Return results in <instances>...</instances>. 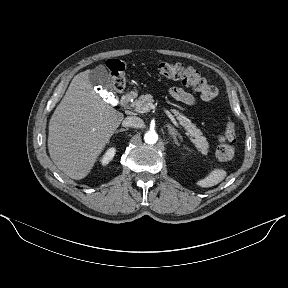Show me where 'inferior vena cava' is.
Returning <instances> with one entry per match:
<instances>
[{
    "instance_id": "1",
    "label": "inferior vena cava",
    "mask_w": 288,
    "mask_h": 288,
    "mask_svg": "<svg viewBox=\"0 0 288 288\" xmlns=\"http://www.w3.org/2000/svg\"><path fill=\"white\" fill-rule=\"evenodd\" d=\"M122 125L124 127L142 128L144 126V122L139 117L130 116V117L125 118Z\"/></svg>"
}]
</instances>
